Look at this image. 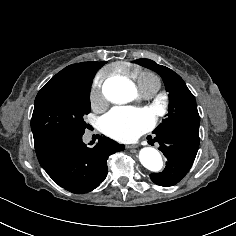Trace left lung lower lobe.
I'll return each mask as SVG.
<instances>
[{"instance_id": "1", "label": "left lung lower lobe", "mask_w": 236, "mask_h": 236, "mask_svg": "<svg viewBox=\"0 0 236 236\" xmlns=\"http://www.w3.org/2000/svg\"><path fill=\"white\" fill-rule=\"evenodd\" d=\"M154 140L159 143V150L168 162L161 173H152L150 178L157 185L173 186L190 170L199 148V136L167 131Z\"/></svg>"}]
</instances>
